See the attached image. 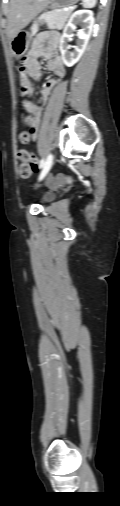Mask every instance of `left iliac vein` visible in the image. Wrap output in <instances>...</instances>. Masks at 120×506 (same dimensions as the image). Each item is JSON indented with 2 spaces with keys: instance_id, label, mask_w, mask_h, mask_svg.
I'll return each mask as SVG.
<instances>
[{
  "instance_id": "obj_1",
  "label": "left iliac vein",
  "mask_w": 120,
  "mask_h": 506,
  "mask_svg": "<svg viewBox=\"0 0 120 506\" xmlns=\"http://www.w3.org/2000/svg\"><path fill=\"white\" fill-rule=\"evenodd\" d=\"M52 164H53V155H51V154H50V155L47 157L46 161H45V165H44V167H43V169H42V172H41V174H40V177H39V179H40V180H41V179H42V178L46 175V174L44 175V172H45V171H47V173L49 172V170H50V168H51Z\"/></svg>"
}]
</instances>
